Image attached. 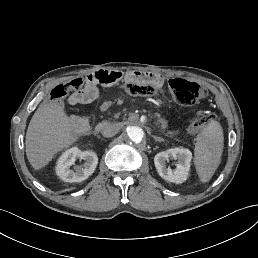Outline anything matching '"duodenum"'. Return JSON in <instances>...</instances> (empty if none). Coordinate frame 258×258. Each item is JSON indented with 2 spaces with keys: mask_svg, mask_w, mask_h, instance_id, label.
<instances>
[{
  "mask_svg": "<svg viewBox=\"0 0 258 258\" xmlns=\"http://www.w3.org/2000/svg\"><path fill=\"white\" fill-rule=\"evenodd\" d=\"M124 77L125 72L122 70L97 71L87 77V83L95 88L98 85L111 87L120 83Z\"/></svg>",
  "mask_w": 258,
  "mask_h": 258,
  "instance_id": "duodenum-1",
  "label": "duodenum"
}]
</instances>
